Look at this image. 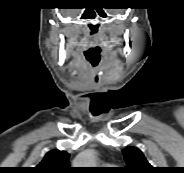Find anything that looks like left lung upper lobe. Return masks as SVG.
<instances>
[{
    "label": "left lung upper lobe",
    "mask_w": 184,
    "mask_h": 173,
    "mask_svg": "<svg viewBox=\"0 0 184 173\" xmlns=\"http://www.w3.org/2000/svg\"><path fill=\"white\" fill-rule=\"evenodd\" d=\"M123 153L127 164V167L123 168L125 173H152L153 167L138 148L127 147Z\"/></svg>",
    "instance_id": "obj_1"
}]
</instances>
